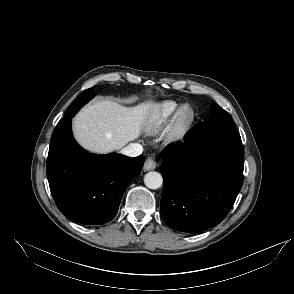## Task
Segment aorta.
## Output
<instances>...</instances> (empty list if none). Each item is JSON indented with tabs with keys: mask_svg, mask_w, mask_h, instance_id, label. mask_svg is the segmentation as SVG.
I'll list each match as a JSON object with an SVG mask.
<instances>
[{
	"mask_svg": "<svg viewBox=\"0 0 294 294\" xmlns=\"http://www.w3.org/2000/svg\"><path fill=\"white\" fill-rule=\"evenodd\" d=\"M144 183L150 189H158L163 184V177L160 173L151 171L145 174Z\"/></svg>",
	"mask_w": 294,
	"mask_h": 294,
	"instance_id": "aorta-1",
	"label": "aorta"
}]
</instances>
